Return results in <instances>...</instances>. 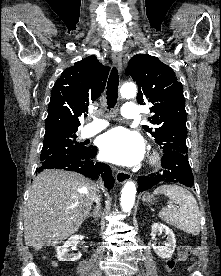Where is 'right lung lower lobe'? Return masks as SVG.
<instances>
[{
	"label": "right lung lower lobe",
	"instance_id": "1",
	"mask_svg": "<svg viewBox=\"0 0 221 276\" xmlns=\"http://www.w3.org/2000/svg\"><path fill=\"white\" fill-rule=\"evenodd\" d=\"M96 154L97 148L92 146L85 154L47 159L41 163V167L37 171L40 172L43 169L57 168L78 172L92 179H98L101 176L105 182V186L110 189L114 186L111 169L104 163L94 162L93 158Z\"/></svg>",
	"mask_w": 221,
	"mask_h": 276
}]
</instances>
